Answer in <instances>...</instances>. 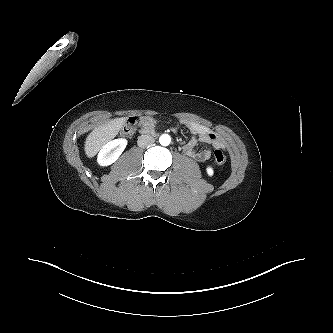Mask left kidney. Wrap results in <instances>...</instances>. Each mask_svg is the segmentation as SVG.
Wrapping results in <instances>:
<instances>
[{"instance_id":"obj_1","label":"left kidney","mask_w":333,"mask_h":333,"mask_svg":"<svg viewBox=\"0 0 333 333\" xmlns=\"http://www.w3.org/2000/svg\"><path fill=\"white\" fill-rule=\"evenodd\" d=\"M206 171H207V174L209 175V176H212L213 175V173H214V171H213V168L212 167H207V169H206Z\"/></svg>"}]
</instances>
